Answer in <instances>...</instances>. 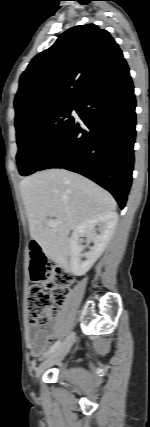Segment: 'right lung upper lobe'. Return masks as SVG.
Masks as SVG:
<instances>
[{"label": "right lung upper lobe", "mask_w": 150, "mask_h": 427, "mask_svg": "<svg viewBox=\"0 0 150 427\" xmlns=\"http://www.w3.org/2000/svg\"><path fill=\"white\" fill-rule=\"evenodd\" d=\"M127 67L108 31L94 24L75 26L36 55L21 75L15 120L45 107L77 105Z\"/></svg>", "instance_id": "cb5924a9"}]
</instances>
